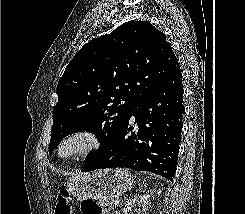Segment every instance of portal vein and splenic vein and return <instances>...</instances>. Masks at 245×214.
I'll use <instances>...</instances> for the list:
<instances>
[{
  "label": "portal vein and splenic vein",
  "mask_w": 245,
  "mask_h": 214,
  "mask_svg": "<svg viewBox=\"0 0 245 214\" xmlns=\"http://www.w3.org/2000/svg\"><path fill=\"white\" fill-rule=\"evenodd\" d=\"M114 205H119V201L118 200L114 201Z\"/></svg>",
  "instance_id": "18ae733b"
}]
</instances>
